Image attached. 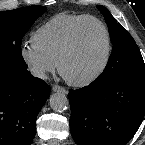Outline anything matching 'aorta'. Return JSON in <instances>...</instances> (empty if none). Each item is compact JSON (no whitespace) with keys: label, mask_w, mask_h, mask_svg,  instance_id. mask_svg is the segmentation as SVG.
I'll use <instances>...</instances> for the list:
<instances>
[{"label":"aorta","mask_w":145,"mask_h":145,"mask_svg":"<svg viewBox=\"0 0 145 145\" xmlns=\"http://www.w3.org/2000/svg\"><path fill=\"white\" fill-rule=\"evenodd\" d=\"M50 106L54 111L63 112L67 110L69 106V100L67 96L61 92L54 93L49 99Z\"/></svg>","instance_id":"762f6f07"}]
</instances>
